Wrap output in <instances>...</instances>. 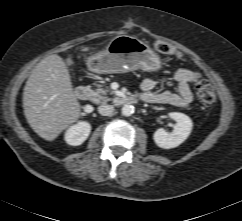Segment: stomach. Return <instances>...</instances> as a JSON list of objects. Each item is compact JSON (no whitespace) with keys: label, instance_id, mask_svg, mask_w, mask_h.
Here are the masks:
<instances>
[{"label":"stomach","instance_id":"0dacf381","mask_svg":"<svg viewBox=\"0 0 242 221\" xmlns=\"http://www.w3.org/2000/svg\"><path fill=\"white\" fill-rule=\"evenodd\" d=\"M157 53L136 37L121 35L112 39L106 49L87 60V67L97 74L125 73L137 69L157 72L162 68Z\"/></svg>","mask_w":242,"mask_h":221}]
</instances>
